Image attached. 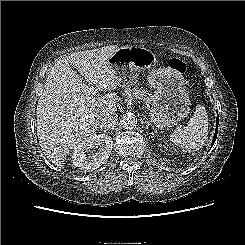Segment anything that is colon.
Returning a JSON list of instances; mask_svg holds the SVG:
<instances>
[{
	"label": "colon",
	"mask_w": 245,
	"mask_h": 245,
	"mask_svg": "<svg viewBox=\"0 0 245 245\" xmlns=\"http://www.w3.org/2000/svg\"><path fill=\"white\" fill-rule=\"evenodd\" d=\"M169 66L182 74L187 70L186 64L178 59H171Z\"/></svg>",
	"instance_id": "5ec220e1"
}]
</instances>
